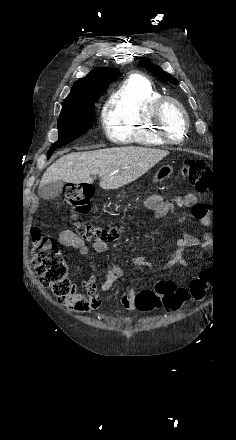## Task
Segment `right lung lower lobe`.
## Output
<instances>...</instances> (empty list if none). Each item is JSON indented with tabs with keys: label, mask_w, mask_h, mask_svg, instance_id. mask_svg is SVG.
Listing matches in <instances>:
<instances>
[{
	"label": "right lung lower lobe",
	"mask_w": 236,
	"mask_h": 440,
	"mask_svg": "<svg viewBox=\"0 0 236 440\" xmlns=\"http://www.w3.org/2000/svg\"><path fill=\"white\" fill-rule=\"evenodd\" d=\"M54 150H49L47 153V157L49 158L51 156V154L53 153Z\"/></svg>",
	"instance_id": "98d812e1"
}]
</instances>
